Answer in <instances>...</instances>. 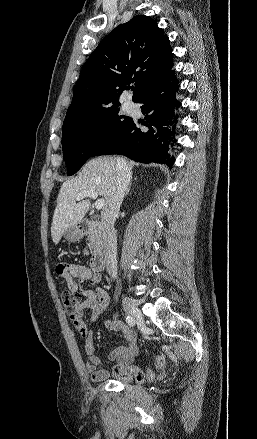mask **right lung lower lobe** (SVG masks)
<instances>
[{
    "instance_id": "right-lung-lower-lobe-1",
    "label": "right lung lower lobe",
    "mask_w": 257,
    "mask_h": 439,
    "mask_svg": "<svg viewBox=\"0 0 257 439\" xmlns=\"http://www.w3.org/2000/svg\"><path fill=\"white\" fill-rule=\"evenodd\" d=\"M178 88L172 70L158 79L138 101L146 115L145 121L131 119L119 134L100 145L91 156L121 154L136 162L163 163L171 168L175 158L168 150L176 142L173 138L178 115L173 111L181 105L175 98Z\"/></svg>"
}]
</instances>
